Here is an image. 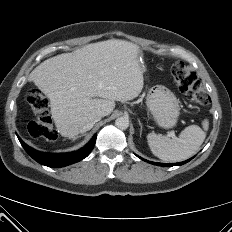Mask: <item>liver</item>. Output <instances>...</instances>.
Returning <instances> with one entry per match:
<instances>
[{
    "mask_svg": "<svg viewBox=\"0 0 232 232\" xmlns=\"http://www.w3.org/2000/svg\"><path fill=\"white\" fill-rule=\"evenodd\" d=\"M144 71L139 46L111 39L49 58L30 73L29 80L49 98L60 134L72 139L90 115L108 116L115 101L136 98L144 85Z\"/></svg>",
    "mask_w": 232,
    "mask_h": 232,
    "instance_id": "6515ba94",
    "label": "liver"
}]
</instances>
